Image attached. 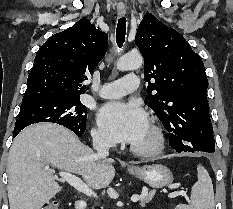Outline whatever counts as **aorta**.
<instances>
[{
    "label": "aorta",
    "mask_w": 233,
    "mask_h": 209,
    "mask_svg": "<svg viewBox=\"0 0 233 209\" xmlns=\"http://www.w3.org/2000/svg\"><path fill=\"white\" fill-rule=\"evenodd\" d=\"M143 58L140 54H126L122 56L116 64L117 69L121 71L135 70L142 66Z\"/></svg>",
    "instance_id": "obj_1"
}]
</instances>
